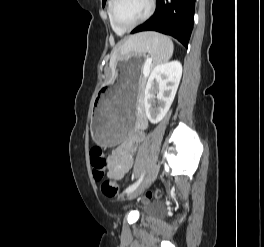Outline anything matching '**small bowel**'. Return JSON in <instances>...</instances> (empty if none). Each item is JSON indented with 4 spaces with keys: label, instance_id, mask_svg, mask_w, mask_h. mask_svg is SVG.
Segmentation results:
<instances>
[{
    "label": "small bowel",
    "instance_id": "c3829d8e",
    "mask_svg": "<svg viewBox=\"0 0 264 247\" xmlns=\"http://www.w3.org/2000/svg\"><path fill=\"white\" fill-rule=\"evenodd\" d=\"M147 125V119L141 115L126 139L108 157L107 176L110 180H121L132 168L135 148L144 140V130Z\"/></svg>",
    "mask_w": 264,
    "mask_h": 247
}]
</instances>
